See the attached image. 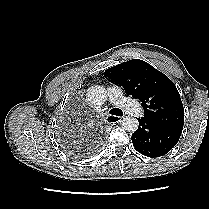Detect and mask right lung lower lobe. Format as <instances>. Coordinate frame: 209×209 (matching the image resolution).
<instances>
[{
  "instance_id": "right-lung-lower-lobe-1",
  "label": "right lung lower lobe",
  "mask_w": 209,
  "mask_h": 209,
  "mask_svg": "<svg viewBox=\"0 0 209 209\" xmlns=\"http://www.w3.org/2000/svg\"><path fill=\"white\" fill-rule=\"evenodd\" d=\"M94 140H95V142L99 145H101L102 144V142H103V136L101 135V133H97L94 137ZM82 151V149H79V151ZM94 149L93 148H91V147H85L84 148V151L85 152H92Z\"/></svg>"
}]
</instances>
